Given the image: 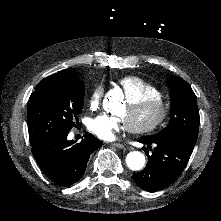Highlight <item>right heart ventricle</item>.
<instances>
[{"instance_id":"right-heart-ventricle-1","label":"right heart ventricle","mask_w":221,"mask_h":221,"mask_svg":"<svg viewBox=\"0 0 221 221\" xmlns=\"http://www.w3.org/2000/svg\"><path fill=\"white\" fill-rule=\"evenodd\" d=\"M119 86L124 89L125 100L132 108L141 101L152 99L157 93L164 94V90L160 86L139 77L122 78Z\"/></svg>"}]
</instances>
